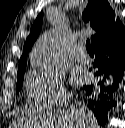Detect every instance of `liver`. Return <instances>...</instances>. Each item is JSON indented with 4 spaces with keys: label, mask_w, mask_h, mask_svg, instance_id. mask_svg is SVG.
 I'll return each mask as SVG.
<instances>
[{
    "label": "liver",
    "mask_w": 125,
    "mask_h": 128,
    "mask_svg": "<svg viewBox=\"0 0 125 128\" xmlns=\"http://www.w3.org/2000/svg\"><path fill=\"white\" fill-rule=\"evenodd\" d=\"M77 104L79 109L72 107L58 115H54L44 122L45 127L70 128V126H73L72 128H95V120L92 113L87 111L86 105L81 102H77Z\"/></svg>",
    "instance_id": "liver-1"
}]
</instances>
